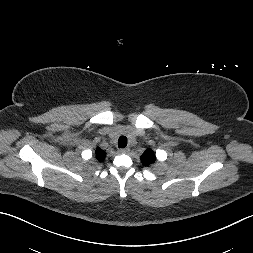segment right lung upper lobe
Wrapping results in <instances>:
<instances>
[{"label": "right lung upper lobe", "instance_id": "1", "mask_svg": "<svg viewBox=\"0 0 253 253\" xmlns=\"http://www.w3.org/2000/svg\"><path fill=\"white\" fill-rule=\"evenodd\" d=\"M96 157L98 159V161H103L104 157H105V151H103L102 149H100L99 147L96 149Z\"/></svg>", "mask_w": 253, "mask_h": 253}]
</instances>
